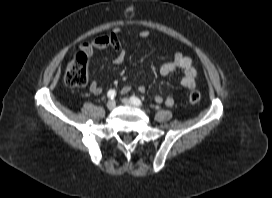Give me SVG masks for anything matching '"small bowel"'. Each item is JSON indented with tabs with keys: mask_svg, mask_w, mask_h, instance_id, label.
Returning a JSON list of instances; mask_svg holds the SVG:
<instances>
[{
	"mask_svg": "<svg viewBox=\"0 0 272 198\" xmlns=\"http://www.w3.org/2000/svg\"><path fill=\"white\" fill-rule=\"evenodd\" d=\"M120 33L121 30L119 28H115L109 34L100 35L91 41L83 42L80 45V49L88 58H91L96 49L112 48L116 51V57L113 62L116 65H120L126 58V52L118 39ZM149 35L150 33L148 30H142L139 32V37L141 38H147ZM177 69H181L183 71L180 84L186 89H194L198 72L193 65L192 58L182 53H176L171 61L164 62L159 66V72L161 75H168ZM130 89V86H125L123 87L122 92L127 93ZM90 91L95 95H99L102 92V87L96 81H93L90 85ZM138 91L144 93L146 91V87L144 85H140L138 86ZM155 101L157 103H164L166 106H172L174 104L172 96L162 97L158 95L155 97Z\"/></svg>",
	"mask_w": 272,
	"mask_h": 198,
	"instance_id": "obj_1",
	"label": "small bowel"
}]
</instances>
